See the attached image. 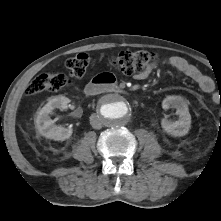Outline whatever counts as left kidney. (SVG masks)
<instances>
[{"label": "left kidney", "mask_w": 221, "mask_h": 221, "mask_svg": "<svg viewBox=\"0 0 221 221\" xmlns=\"http://www.w3.org/2000/svg\"><path fill=\"white\" fill-rule=\"evenodd\" d=\"M162 108H175L176 114L179 115L177 121L168 120L167 117L162 119L161 125L167 134L174 137L185 136L191 127V115L189 113L187 100L179 95H170L162 101Z\"/></svg>", "instance_id": "left-kidney-1"}]
</instances>
